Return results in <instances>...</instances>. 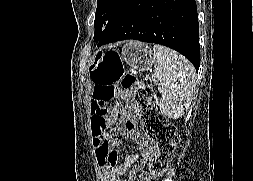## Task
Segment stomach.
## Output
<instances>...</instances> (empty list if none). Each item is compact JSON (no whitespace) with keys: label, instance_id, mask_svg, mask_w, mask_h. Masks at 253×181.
I'll list each match as a JSON object with an SVG mask.
<instances>
[{"label":"stomach","instance_id":"stomach-1","mask_svg":"<svg viewBox=\"0 0 253 181\" xmlns=\"http://www.w3.org/2000/svg\"><path fill=\"white\" fill-rule=\"evenodd\" d=\"M122 61L138 71L149 70L154 62V57L147 44L130 41L127 42L120 55Z\"/></svg>","mask_w":253,"mask_h":181}]
</instances>
